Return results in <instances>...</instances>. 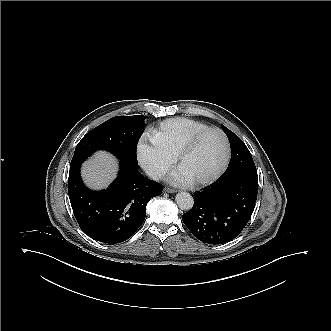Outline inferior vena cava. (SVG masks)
Masks as SVG:
<instances>
[{
  "label": "inferior vena cava",
  "instance_id": "inferior-vena-cava-1",
  "mask_svg": "<svg viewBox=\"0 0 331 331\" xmlns=\"http://www.w3.org/2000/svg\"><path fill=\"white\" fill-rule=\"evenodd\" d=\"M145 174L153 180H160L164 177L165 172L161 168L147 166L144 169Z\"/></svg>",
  "mask_w": 331,
  "mask_h": 331
}]
</instances>
